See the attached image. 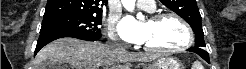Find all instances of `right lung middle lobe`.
<instances>
[{
  "mask_svg": "<svg viewBox=\"0 0 246 69\" xmlns=\"http://www.w3.org/2000/svg\"><path fill=\"white\" fill-rule=\"evenodd\" d=\"M102 15L61 14L44 17L40 34L73 33L80 36H98Z\"/></svg>",
  "mask_w": 246,
  "mask_h": 69,
  "instance_id": "right-lung-middle-lobe-1",
  "label": "right lung middle lobe"
}]
</instances>
